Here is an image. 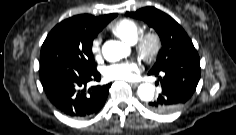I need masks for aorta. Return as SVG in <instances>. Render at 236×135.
<instances>
[{
    "instance_id": "1",
    "label": "aorta",
    "mask_w": 236,
    "mask_h": 135,
    "mask_svg": "<svg viewBox=\"0 0 236 135\" xmlns=\"http://www.w3.org/2000/svg\"><path fill=\"white\" fill-rule=\"evenodd\" d=\"M104 58L109 62H116L130 54V48L123 42L110 40L102 47ZM155 87L150 83H143L138 87V97L142 101H151L154 98Z\"/></svg>"
}]
</instances>
